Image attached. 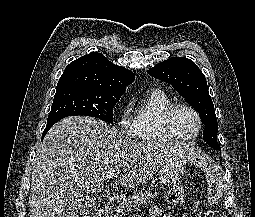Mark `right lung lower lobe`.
<instances>
[{"mask_svg": "<svg viewBox=\"0 0 255 217\" xmlns=\"http://www.w3.org/2000/svg\"><path fill=\"white\" fill-rule=\"evenodd\" d=\"M67 116H59V117H56L54 119H52L51 121H47V125H46V128L42 134V139L45 137L46 133L49 131V129L56 123L58 122L59 120L65 118Z\"/></svg>", "mask_w": 255, "mask_h": 217, "instance_id": "obj_1", "label": "right lung lower lobe"}]
</instances>
